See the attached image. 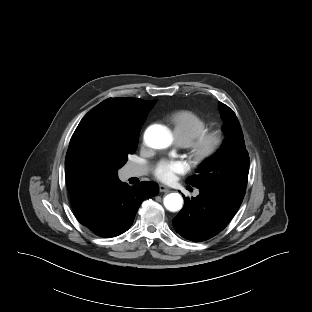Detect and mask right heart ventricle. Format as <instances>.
Segmentation results:
<instances>
[{
    "label": "right heart ventricle",
    "instance_id": "1",
    "mask_svg": "<svg viewBox=\"0 0 312 312\" xmlns=\"http://www.w3.org/2000/svg\"><path fill=\"white\" fill-rule=\"evenodd\" d=\"M170 119L174 125L176 138L186 145L209 128V122L204 117L189 110L178 111Z\"/></svg>",
    "mask_w": 312,
    "mask_h": 312
}]
</instances>
